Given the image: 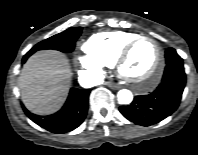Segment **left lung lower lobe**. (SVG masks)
<instances>
[{
	"label": "left lung lower lobe",
	"mask_w": 198,
	"mask_h": 155,
	"mask_svg": "<svg viewBox=\"0 0 198 155\" xmlns=\"http://www.w3.org/2000/svg\"><path fill=\"white\" fill-rule=\"evenodd\" d=\"M185 83L183 63H170L166 65L162 81L155 91L149 95L136 96L130 105L121 106L119 110L135 124H156L178 108Z\"/></svg>",
	"instance_id": "1"
}]
</instances>
